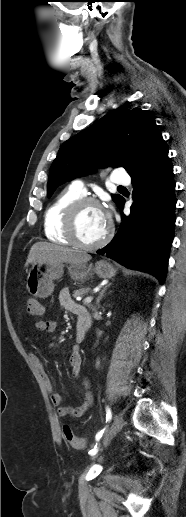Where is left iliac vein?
Returning <instances> with one entry per match:
<instances>
[{"label":"left iliac vein","mask_w":186,"mask_h":517,"mask_svg":"<svg viewBox=\"0 0 186 517\" xmlns=\"http://www.w3.org/2000/svg\"><path fill=\"white\" fill-rule=\"evenodd\" d=\"M124 421L120 414H117L114 417L113 424L110 428V430L104 435L102 444L100 447V451H102L105 447H107L112 440V438L123 428ZM97 454L93 455V458H96Z\"/></svg>","instance_id":"4c4485c4"}]
</instances>
